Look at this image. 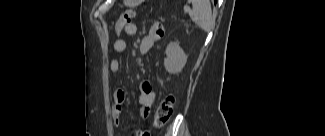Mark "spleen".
I'll return each instance as SVG.
<instances>
[{
	"label": "spleen",
	"instance_id": "spleen-1",
	"mask_svg": "<svg viewBox=\"0 0 325 136\" xmlns=\"http://www.w3.org/2000/svg\"><path fill=\"white\" fill-rule=\"evenodd\" d=\"M193 9L189 15L192 21L201 29L209 32L214 24L209 0H193Z\"/></svg>",
	"mask_w": 325,
	"mask_h": 136
}]
</instances>
